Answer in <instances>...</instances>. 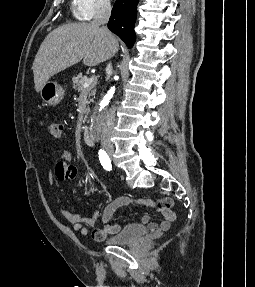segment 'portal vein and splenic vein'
<instances>
[{
  "label": "portal vein and splenic vein",
  "mask_w": 255,
  "mask_h": 287,
  "mask_svg": "<svg viewBox=\"0 0 255 287\" xmlns=\"http://www.w3.org/2000/svg\"><path fill=\"white\" fill-rule=\"evenodd\" d=\"M92 82H96L95 76H92V78H90L89 82H85V84H83V88H89V86H91Z\"/></svg>",
  "instance_id": "obj_1"
}]
</instances>
